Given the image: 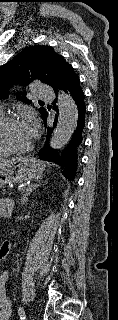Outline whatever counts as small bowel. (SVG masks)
Returning a JSON list of instances; mask_svg holds the SVG:
<instances>
[{
	"label": "small bowel",
	"mask_w": 118,
	"mask_h": 320,
	"mask_svg": "<svg viewBox=\"0 0 118 320\" xmlns=\"http://www.w3.org/2000/svg\"><path fill=\"white\" fill-rule=\"evenodd\" d=\"M13 206L11 198H0V217L6 216L10 213ZM6 246V250L5 247ZM9 250V244L3 243L0 246V252L6 253ZM9 280V272L0 274V320H8L11 315V302L7 296L6 286Z\"/></svg>",
	"instance_id": "small-bowel-1"
}]
</instances>
